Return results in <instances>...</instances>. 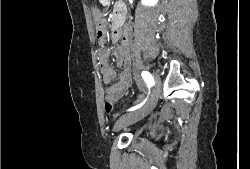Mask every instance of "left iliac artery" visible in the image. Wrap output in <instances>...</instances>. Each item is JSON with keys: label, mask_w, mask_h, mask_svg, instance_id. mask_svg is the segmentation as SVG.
<instances>
[{"label": "left iliac artery", "mask_w": 250, "mask_h": 169, "mask_svg": "<svg viewBox=\"0 0 250 169\" xmlns=\"http://www.w3.org/2000/svg\"><path fill=\"white\" fill-rule=\"evenodd\" d=\"M141 75H142V78L144 79L145 83L147 84L148 88H150V87H152L154 85L153 77H152V75L148 71H142ZM146 100L147 99H145L139 105L130 108L128 111H134V110L142 107V105L146 102Z\"/></svg>", "instance_id": "obj_1"}]
</instances>
